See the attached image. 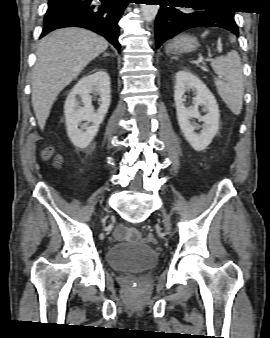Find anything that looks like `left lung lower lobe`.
Returning a JSON list of instances; mask_svg holds the SVG:
<instances>
[{
    "label": "left lung lower lobe",
    "instance_id": "1",
    "mask_svg": "<svg viewBox=\"0 0 270 338\" xmlns=\"http://www.w3.org/2000/svg\"><path fill=\"white\" fill-rule=\"evenodd\" d=\"M161 6L155 21L156 47L175 35L195 27L215 26L239 35L235 10L225 0H154ZM187 5H194L193 10ZM179 6V7H178Z\"/></svg>",
    "mask_w": 270,
    "mask_h": 338
}]
</instances>
